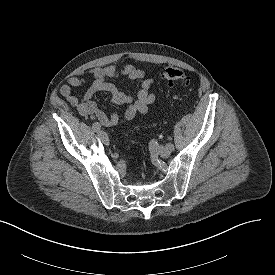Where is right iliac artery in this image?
<instances>
[{"label":"right iliac artery","mask_w":275,"mask_h":275,"mask_svg":"<svg viewBox=\"0 0 275 275\" xmlns=\"http://www.w3.org/2000/svg\"><path fill=\"white\" fill-rule=\"evenodd\" d=\"M94 132H98L101 129V126L98 122H95L92 126Z\"/></svg>","instance_id":"obj_1"}]
</instances>
